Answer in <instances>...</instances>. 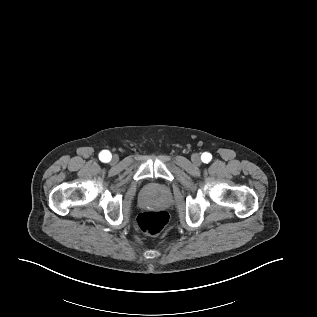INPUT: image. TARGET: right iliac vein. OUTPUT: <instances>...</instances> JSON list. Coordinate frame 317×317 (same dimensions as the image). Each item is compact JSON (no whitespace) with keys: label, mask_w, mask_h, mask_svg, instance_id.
I'll return each mask as SVG.
<instances>
[{"label":"right iliac vein","mask_w":317,"mask_h":317,"mask_svg":"<svg viewBox=\"0 0 317 317\" xmlns=\"http://www.w3.org/2000/svg\"><path fill=\"white\" fill-rule=\"evenodd\" d=\"M117 161H118V157L117 156H113L112 163H116Z\"/></svg>","instance_id":"obj_1"}]
</instances>
